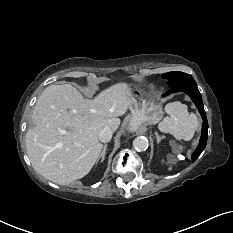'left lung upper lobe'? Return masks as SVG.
Returning a JSON list of instances; mask_svg holds the SVG:
<instances>
[{
  "instance_id": "left-lung-upper-lobe-1",
  "label": "left lung upper lobe",
  "mask_w": 233,
  "mask_h": 233,
  "mask_svg": "<svg viewBox=\"0 0 233 233\" xmlns=\"http://www.w3.org/2000/svg\"><path fill=\"white\" fill-rule=\"evenodd\" d=\"M162 77L168 80V85L170 87L184 82L195 81L191 75L178 71L165 73Z\"/></svg>"
}]
</instances>
